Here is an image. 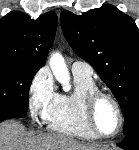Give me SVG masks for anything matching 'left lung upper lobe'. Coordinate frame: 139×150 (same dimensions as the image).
I'll return each instance as SVG.
<instances>
[{
	"mask_svg": "<svg viewBox=\"0 0 139 150\" xmlns=\"http://www.w3.org/2000/svg\"><path fill=\"white\" fill-rule=\"evenodd\" d=\"M74 52L98 72L124 114V134L139 130V31L134 20L105 4L78 16L60 15Z\"/></svg>",
	"mask_w": 139,
	"mask_h": 150,
	"instance_id": "left-lung-upper-lobe-1",
	"label": "left lung upper lobe"
}]
</instances>
